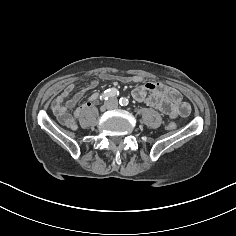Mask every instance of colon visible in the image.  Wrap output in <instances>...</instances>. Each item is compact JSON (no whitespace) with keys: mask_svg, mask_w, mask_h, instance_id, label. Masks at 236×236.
<instances>
[{"mask_svg":"<svg viewBox=\"0 0 236 236\" xmlns=\"http://www.w3.org/2000/svg\"><path fill=\"white\" fill-rule=\"evenodd\" d=\"M169 127L170 128H175V124L174 123H170Z\"/></svg>","mask_w":236,"mask_h":236,"instance_id":"obj_1","label":"colon"}]
</instances>
